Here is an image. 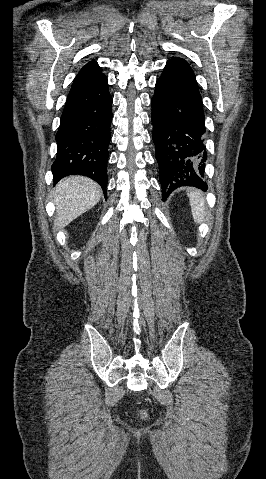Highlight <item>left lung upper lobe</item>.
<instances>
[{"mask_svg":"<svg viewBox=\"0 0 266 479\" xmlns=\"http://www.w3.org/2000/svg\"><path fill=\"white\" fill-rule=\"evenodd\" d=\"M169 61L176 62V63H178V64H180V65H182V66H185V67H187L188 69L192 70V69L190 68L189 64H188L184 59H182V58L174 57V58L170 59Z\"/></svg>","mask_w":266,"mask_h":479,"instance_id":"1","label":"left lung upper lobe"}]
</instances>
